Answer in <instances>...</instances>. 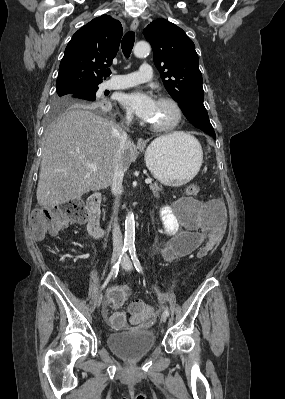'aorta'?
<instances>
[{
  "instance_id": "aorta-1",
  "label": "aorta",
  "mask_w": 285,
  "mask_h": 399,
  "mask_svg": "<svg viewBox=\"0 0 285 399\" xmlns=\"http://www.w3.org/2000/svg\"><path fill=\"white\" fill-rule=\"evenodd\" d=\"M134 55L136 57L142 58L149 55L151 51V47L149 43L140 41L137 42L134 46ZM135 241V219L134 214L128 212L125 219V239L124 246L125 248H131L134 246Z\"/></svg>"
}]
</instances>
